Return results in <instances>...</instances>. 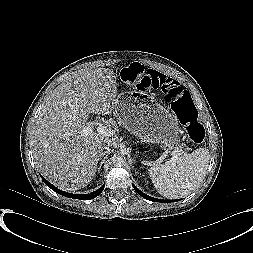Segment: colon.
I'll return each instance as SVG.
<instances>
[{
    "instance_id": "1",
    "label": "colon",
    "mask_w": 253,
    "mask_h": 253,
    "mask_svg": "<svg viewBox=\"0 0 253 253\" xmlns=\"http://www.w3.org/2000/svg\"><path fill=\"white\" fill-rule=\"evenodd\" d=\"M147 71L137 63L128 65L122 70V79L137 85L145 79ZM165 101L170 104L177 118L185 125L188 137L195 143H201L205 138V129L197 120V109L191 95L182 86H173L163 90Z\"/></svg>"
}]
</instances>
